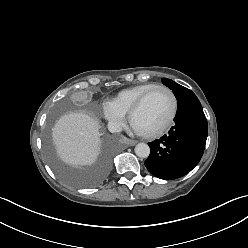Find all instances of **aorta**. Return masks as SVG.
I'll list each match as a JSON object with an SVG mask.
<instances>
[{
    "label": "aorta",
    "instance_id": "762f6f07",
    "mask_svg": "<svg viewBox=\"0 0 248 248\" xmlns=\"http://www.w3.org/2000/svg\"><path fill=\"white\" fill-rule=\"evenodd\" d=\"M135 154L141 158H147L150 154V148L145 143H138L135 146Z\"/></svg>",
    "mask_w": 248,
    "mask_h": 248
}]
</instances>
